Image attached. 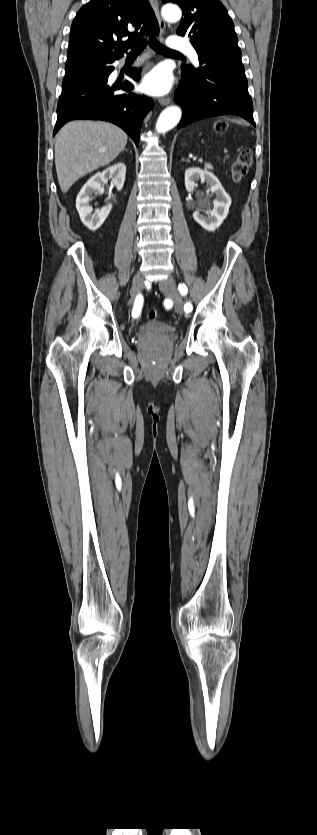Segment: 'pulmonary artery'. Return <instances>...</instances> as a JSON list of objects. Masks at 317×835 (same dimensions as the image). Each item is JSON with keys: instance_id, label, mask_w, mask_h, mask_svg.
I'll return each instance as SVG.
<instances>
[{"instance_id": "e3ab8cb5", "label": "pulmonary artery", "mask_w": 317, "mask_h": 835, "mask_svg": "<svg viewBox=\"0 0 317 835\" xmlns=\"http://www.w3.org/2000/svg\"><path fill=\"white\" fill-rule=\"evenodd\" d=\"M168 46L170 50L185 52L194 63H198V53L187 40L173 36L169 39Z\"/></svg>"}]
</instances>
